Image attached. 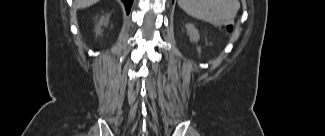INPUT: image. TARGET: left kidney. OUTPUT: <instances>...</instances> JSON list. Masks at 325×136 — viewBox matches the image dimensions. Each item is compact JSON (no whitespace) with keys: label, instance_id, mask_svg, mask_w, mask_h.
Segmentation results:
<instances>
[{"label":"left kidney","instance_id":"obj_1","mask_svg":"<svg viewBox=\"0 0 325 136\" xmlns=\"http://www.w3.org/2000/svg\"><path fill=\"white\" fill-rule=\"evenodd\" d=\"M185 28L187 30V34L190 37V40L192 42H197L199 40L200 36H199L198 30L195 28V26L191 23H188L185 25ZM199 51H200V49H199Z\"/></svg>","mask_w":325,"mask_h":136}]
</instances>
